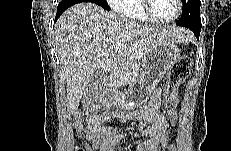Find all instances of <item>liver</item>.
I'll return each mask as SVG.
<instances>
[{"label": "liver", "instance_id": "1", "mask_svg": "<svg viewBox=\"0 0 231 151\" xmlns=\"http://www.w3.org/2000/svg\"><path fill=\"white\" fill-rule=\"evenodd\" d=\"M189 30L157 28L81 2L68 8L55 24L54 42L67 85V108L74 113L96 69L120 72L153 48L190 40ZM122 43L121 49L116 48Z\"/></svg>", "mask_w": 231, "mask_h": 151}]
</instances>
